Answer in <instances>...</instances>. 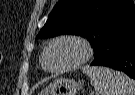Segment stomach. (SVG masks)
Returning a JSON list of instances; mask_svg holds the SVG:
<instances>
[{
    "label": "stomach",
    "instance_id": "stomach-1",
    "mask_svg": "<svg viewBox=\"0 0 135 95\" xmlns=\"http://www.w3.org/2000/svg\"><path fill=\"white\" fill-rule=\"evenodd\" d=\"M83 88L81 81L68 78H57L38 95H76Z\"/></svg>",
    "mask_w": 135,
    "mask_h": 95
}]
</instances>
